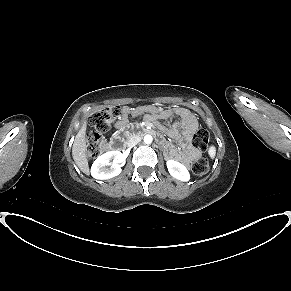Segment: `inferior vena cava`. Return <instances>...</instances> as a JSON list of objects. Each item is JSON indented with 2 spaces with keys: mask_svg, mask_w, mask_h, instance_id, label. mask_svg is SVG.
Masks as SVG:
<instances>
[{
  "mask_svg": "<svg viewBox=\"0 0 291 291\" xmlns=\"http://www.w3.org/2000/svg\"><path fill=\"white\" fill-rule=\"evenodd\" d=\"M141 141V137L140 136H132L130 138V140L128 141V146L129 147H134L137 143H139Z\"/></svg>",
  "mask_w": 291,
  "mask_h": 291,
  "instance_id": "inferior-vena-cava-1",
  "label": "inferior vena cava"
}]
</instances>
